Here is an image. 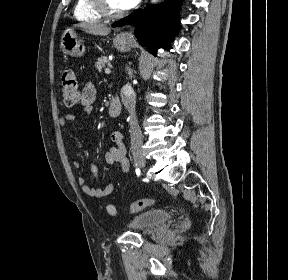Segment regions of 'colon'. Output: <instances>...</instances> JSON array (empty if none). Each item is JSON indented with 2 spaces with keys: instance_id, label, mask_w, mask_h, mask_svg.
I'll return each mask as SVG.
<instances>
[{
  "instance_id": "colon-1",
  "label": "colon",
  "mask_w": 288,
  "mask_h": 280,
  "mask_svg": "<svg viewBox=\"0 0 288 280\" xmlns=\"http://www.w3.org/2000/svg\"><path fill=\"white\" fill-rule=\"evenodd\" d=\"M62 92L63 102L66 107H74L79 102L80 94L78 90V79L76 73L72 69H67L63 72ZM154 203V199L137 200L130 205V211L135 213L153 205ZM106 210L112 217L117 214V210L114 205H108Z\"/></svg>"
}]
</instances>
